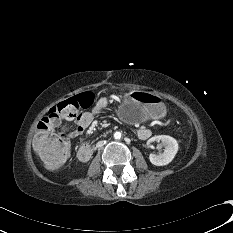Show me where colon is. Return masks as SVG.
I'll return each instance as SVG.
<instances>
[{
	"mask_svg": "<svg viewBox=\"0 0 233 233\" xmlns=\"http://www.w3.org/2000/svg\"><path fill=\"white\" fill-rule=\"evenodd\" d=\"M95 100L94 93L85 91L68 98L55 109L63 117H75L88 109ZM34 149L48 169L60 168L71 155V144L64 134L52 133L45 120L38 123Z\"/></svg>",
	"mask_w": 233,
	"mask_h": 233,
	"instance_id": "obj_1",
	"label": "colon"
}]
</instances>
